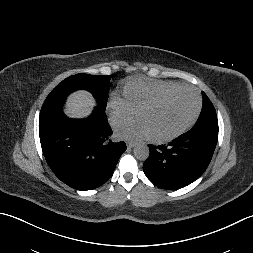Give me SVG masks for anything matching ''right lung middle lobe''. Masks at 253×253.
Returning a JSON list of instances; mask_svg holds the SVG:
<instances>
[{
  "label": "right lung middle lobe",
  "mask_w": 253,
  "mask_h": 253,
  "mask_svg": "<svg viewBox=\"0 0 253 253\" xmlns=\"http://www.w3.org/2000/svg\"><path fill=\"white\" fill-rule=\"evenodd\" d=\"M111 76L88 75L84 73L70 76L60 82L47 96L45 101L65 98L69 93L84 89L93 94L98 101V106L105 110L107 94L109 92V81Z\"/></svg>",
  "instance_id": "dd1d6c3e"
}]
</instances>
